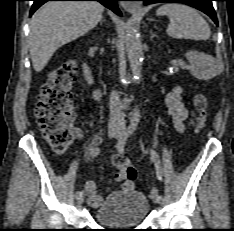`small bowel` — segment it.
<instances>
[{"label":"small bowel","mask_w":234,"mask_h":231,"mask_svg":"<svg viewBox=\"0 0 234 231\" xmlns=\"http://www.w3.org/2000/svg\"><path fill=\"white\" fill-rule=\"evenodd\" d=\"M182 88L178 85L166 95V106L168 108V116L171 118L175 129L182 133L185 129L184 122L188 118V110L181 101ZM73 133L77 136H81V131L78 128L73 129ZM133 182L123 180L121 190L129 192L133 189ZM85 193L87 195L88 203L92 207H98L102 202V197L96 193V186L94 182L87 181L84 186Z\"/></svg>","instance_id":"c3829d8e"}]
</instances>
